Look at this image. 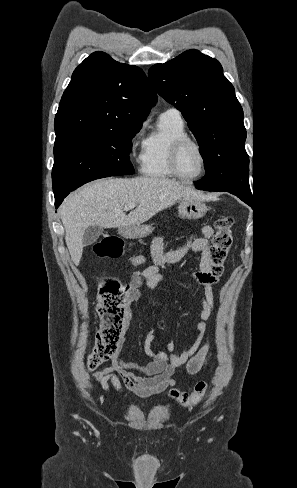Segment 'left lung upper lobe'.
<instances>
[{"label":"left lung upper lobe","mask_w":297,"mask_h":488,"mask_svg":"<svg viewBox=\"0 0 297 488\" xmlns=\"http://www.w3.org/2000/svg\"><path fill=\"white\" fill-rule=\"evenodd\" d=\"M148 77L158 94L181 111L199 143L206 175L196 188L252 197L243 110L221 64L192 49L155 64Z\"/></svg>","instance_id":"5c2ea615"}]
</instances>
